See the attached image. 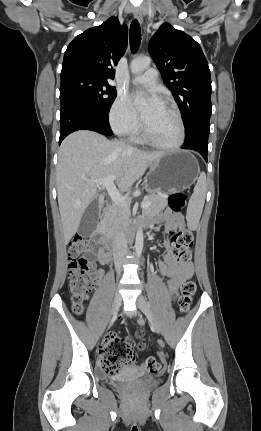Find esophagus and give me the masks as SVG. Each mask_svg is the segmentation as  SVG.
<instances>
[{"mask_svg":"<svg viewBox=\"0 0 261 431\" xmlns=\"http://www.w3.org/2000/svg\"><path fill=\"white\" fill-rule=\"evenodd\" d=\"M135 18L139 21L140 24L143 23V15L140 9L135 8L133 11Z\"/></svg>","mask_w":261,"mask_h":431,"instance_id":"obj_1","label":"esophagus"}]
</instances>
